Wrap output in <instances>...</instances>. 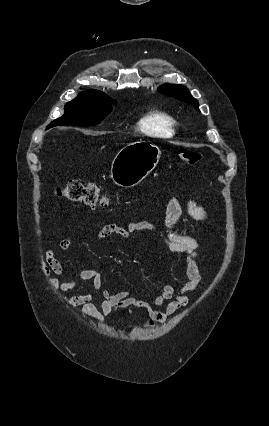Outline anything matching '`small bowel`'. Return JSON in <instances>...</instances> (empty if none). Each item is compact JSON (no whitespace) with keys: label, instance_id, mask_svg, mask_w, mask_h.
<instances>
[{"label":"small bowel","instance_id":"obj_1","mask_svg":"<svg viewBox=\"0 0 269 426\" xmlns=\"http://www.w3.org/2000/svg\"><path fill=\"white\" fill-rule=\"evenodd\" d=\"M193 219L200 222H208V212L198 206L195 201L188 200L183 207L180 201L171 199L165 211L167 233L163 234L154 224L148 221H133L127 226L117 224H100L99 230L94 234V239H105L113 235L128 238L131 234L149 231L159 235L169 252L176 253L183 258L186 280L179 286L166 284L161 292L153 300H144L134 296L130 291H108L102 289V277L99 271L91 266L83 269L79 278L83 281H91L93 288L99 291L101 302L96 305L92 302V295L86 292L73 296H62V300L70 307H80L82 314L95 321H102L117 308L143 309L149 317L158 322H164L168 317L189 304L187 293H193L199 289L202 283L199 242L178 228L183 209ZM72 245L70 239L60 242V249L68 251ZM42 270L49 284L61 293L71 292L76 289L77 282L68 276L61 262L55 257L54 251L48 249L42 257ZM52 274L56 275L54 277ZM58 277L62 278L59 279ZM166 305L164 310L159 308Z\"/></svg>","mask_w":269,"mask_h":426}]
</instances>
